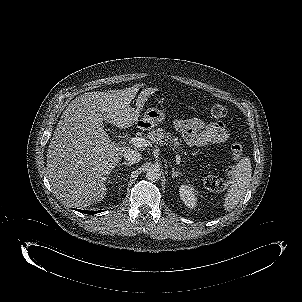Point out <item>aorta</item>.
<instances>
[{"label":"aorta","instance_id":"obj_1","mask_svg":"<svg viewBox=\"0 0 302 302\" xmlns=\"http://www.w3.org/2000/svg\"><path fill=\"white\" fill-rule=\"evenodd\" d=\"M161 177V171L156 166H150L146 170V178L150 181H157Z\"/></svg>","mask_w":302,"mask_h":302}]
</instances>
